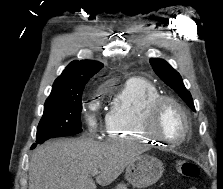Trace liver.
<instances>
[{
    "label": "liver",
    "mask_w": 223,
    "mask_h": 189,
    "mask_svg": "<svg viewBox=\"0 0 223 189\" xmlns=\"http://www.w3.org/2000/svg\"><path fill=\"white\" fill-rule=\"evenodd\" d=\"M127 142L100 143L92 138L59 139L37 147L30 159L29 189H96L111 184L140 154Z\"/></svg>",
    "instance_id": "liver-1"
}]
</instances>
